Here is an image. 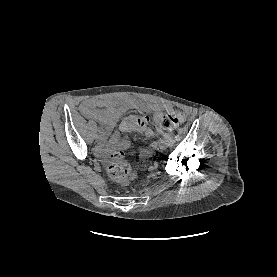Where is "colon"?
<instances>
[{"label":"colon","mask_w":277,"mask_h":277,"mask_svg":"<svg viewBox=\"0 0 277 277\" xmlns=\"http://www.w3.org/2000/svg\"><path fill=\"white\" fill-rule=\"evenodd\" d=\"M184 119V114L180 110H173L161 118L160 127L164 130H173L180 126ZM149 126L147 117L141 115H128L120 123V129L124 133L146 132ZM108 171L112 180L124 187L129 186L136 178V172L127 163L125 152L122 150L112 153Z\"/></svg>","instance_id":"5ec220e1"}]
</instances>
